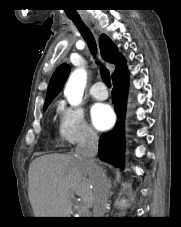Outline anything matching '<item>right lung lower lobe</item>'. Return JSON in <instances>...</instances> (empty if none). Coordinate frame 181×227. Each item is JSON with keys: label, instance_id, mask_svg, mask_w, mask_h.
<instances>
[{"label": "right lung lower lobe", "instance_id": "obj_1", "mask_svg": "<svg viewBox=\"0 0 181 227\" xmlns=\"http://www.w3.org/2000/svg\"><path fill=\"white\" fill-rule=\"evenodd\" d=\"M114 88L112 97L114 109L117 114L115 127L104 133L99 140V157L114 166L123 167V150H124V117L125 103L128 87V73L123 61L120 68L112 75Z\"/></svg>", "mask_w": 181, "mask_h": 227}]
</instances>
